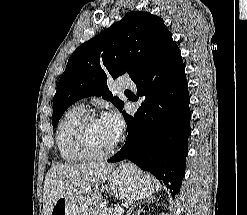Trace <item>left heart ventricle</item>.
I'll return each mask as SVG.
<instances>
[{
  "instance_id": "1",
  "label": "left heart ventricle",
  "mask_w": 247,
  "mask_h": 215,
  "mask_svg": "<svg viewBox=\"0 0 247 215\" xmlns=\"http://www.w3.org/2000/svg\"><path fill=\"white\" fill-rule=\"evenodd\" d=\"M86 137L91 149L97 152L107 150L116 140L102 119H98L87 125Z\"/></svg>"
}]
</instances>
